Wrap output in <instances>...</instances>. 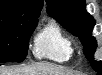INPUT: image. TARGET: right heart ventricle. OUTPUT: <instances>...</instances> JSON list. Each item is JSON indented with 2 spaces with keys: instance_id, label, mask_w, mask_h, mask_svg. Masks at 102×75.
Instances as JSON below:
<instances>
[{
  "instance_id": "right-heart-ventricle-1",
  "label": "right heart ventricle",
  "mask_w": 102,
  "mask_h": 75,
  "mask_svg": "<svg viewBox=\"0 0 102 75\" xmlns=\"http://www.w3.org/2000/svg\"><path fill=\"white\" fill-rule=\"evenodd\" d=\"M72 40L56 24H50L35 40L34 53L39 59L67 62L73 55Z\"/></svg>"
}]
</instances>
